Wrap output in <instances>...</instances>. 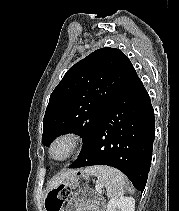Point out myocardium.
Instances as JSON below:
<instances>
[{
  "label": "myocardium",
  "mask_w": 179,
  "mask_h": 211,
  "mask_svg": "<svg viewBox=\"0 0 179 211\" xmlns=\"http://www.w3.org/2000/svg\"><path fill=\"white\" fill-rule=\"evenodd\" d=\"M82 141L81 135L76 131H65L58 134L48 146V157L55 163H62L71 158L78 150ZM64 146L65 151L61 156L55 155V150L59 146Z\"/></svg>",
  "instance_id": "1"
}]
</instances>
